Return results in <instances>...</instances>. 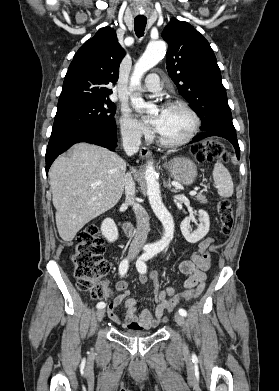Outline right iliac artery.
Segmentation results:
<instances>
[{
    "label": "right iliac artery",
    "mask_w": 279,
    "mask_h": 391,
    "mask_svg": "<svg viewBox=\"0 0 279 391\" xmlns=\"http://www.w3.org/2000/svg\"><path fill=\"white\" fill-rule=\"evenodd\" d=\"M128 267H129L128 259H124L120 263V266H119V273L121 276H124L126 274ZM105 306H106V304L104 302H99L97 304L98 309H103V308H105Z\"/></svg>",
    "instance_id": "obj_1"
}]
</instances>
